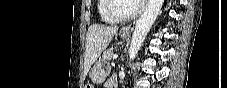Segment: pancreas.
<instances>
[{
    "label": "pancreas",
    "mask_w": 227,
    "mask_h": 88,
    "mask_svg": "<svg viewBox=\"0 0 227 88\" xmlns=\"http://www.w3.org/2000/svg\"><path fill=\"white\" fill-rule=\"evenodd\" d=\"M113 57V49L109 48L103 53V59L110 61Z\"/></svg>",
    "instance_id": "1"
}]
</instances>
